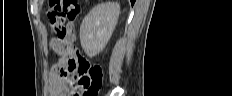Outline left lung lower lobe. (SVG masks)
<instances>
[{
  "instance_id": "0a47b994",
  "label": "left lung lower lobe",
  "mask_w": 232,
  "mask_h": 96,
  "mask_svg": "<svg viewBox=\"0 0 232 96\" xmlns=\"http://www.w3.org/2000/svg\"><path fill=\"white\" fill-rule=\"evenodd\" d=\"M135 2V0H131V3L133 4Z\"/></svg>"
}]
</instances>
